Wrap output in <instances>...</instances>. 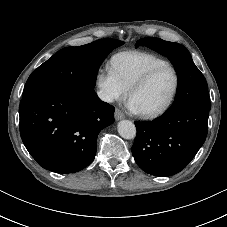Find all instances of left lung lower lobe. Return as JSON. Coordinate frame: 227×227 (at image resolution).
Returning a JSON list of instances; mask_svg holds the SVG:
<instances>
[{
  "label": "left lung lower lobe",
  "mask_w": 227,
  "mask_h": 227,
  "mask_svg": "<svg viewBox=\"0 0 227 227\" xmlns=\"http://www.w3.org/2000/svg\"><path fill=\"white\" fill-rule=\"evenodd\" d=\"M209 111L185 107L165 111L149 122H135L137 136L132 154L138 166L154 176L183 170L203 145Z\"/></svg>",
  "instance_id": "0a47b994"
}]
</instances>
